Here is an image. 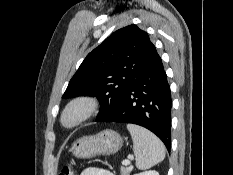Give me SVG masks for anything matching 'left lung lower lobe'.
I'll list each match as a JSON object with an SVG mask.
<instances>
[{
    "label": "left lung lower lobe",
    "mask_w": 233,
    "mask_h": 175,
    "mask_svg": "<svg viewBox=\"0 0 233 175\" xmlns=\"http://www.w3.org/2000/svg\"><path fill=\"white\" fill-rule=\"evenodd\" d=\"M171 95L162 60L154 52L125 91L116 108L98 122L143 126L156 134L170 150Z\"/></svg>",
    "instance_id": "left-lung-lower-lobe-1"
}]
</instances>
